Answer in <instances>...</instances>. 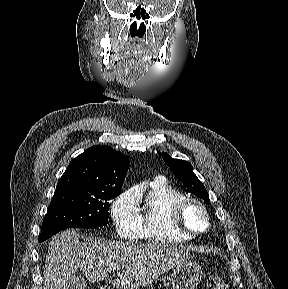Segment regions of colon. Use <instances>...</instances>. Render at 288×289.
Wrapping results in <instances>:
<instances>
[{
  "instance_id": "5ec220e1",
  "label": "colon",
  "mask_w": 288,
  "mask_h": 289,
  "mask_svg": "<svg viewBox=\"0 0 288 289\" xmlns=\"http://www.w3.org/2000/svg\"><path fill=\"white\" fill-rule=\"evenodd\" d=\"M206 289H229L227 280L220 275H209L206 279Z\"/></svg>"
}]
</instances>
